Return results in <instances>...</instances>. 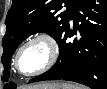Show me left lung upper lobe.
I'll use <instances>...</instances> for the list:
<instances>
[{
	"label": "left lung upper lobe",
	"mask_w": 107,
	"mask_h": 89,
	"mask_svg": "<svg viewBox=\"0 0 107 89\" xmlns=\"http://www.w3.org/2000/svg\"><path fill=\"white\" fill-rule=\"evenodd\" d=\"M80 1L12 0V6L6 17V34L2 40L3 81H7L9 77V61L18 45L37 32H46L57 41ZM62 4L67 7L65 11H61ZM15 87L14 83L5 85L6 89H15Z\"/></svg>",
	"instance_id": "1"
}]
</instances>
